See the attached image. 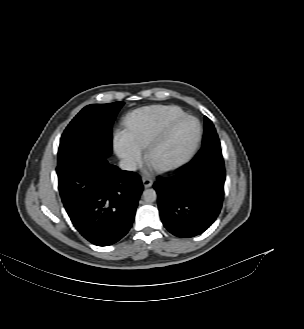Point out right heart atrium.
Returning a JSON list of instances; mask_svg holds the SVG:
<instances>
[{"label": "right heart atrium", "instance_id": "1", "mask_svg": "<svg viewBox=\"0 0 304 329\" xmlns=\"http://www.w3.org/2000/svg\"><path fill=\"white\" fill-rule=\"evenodd\" d=\"M113 142L117 155L130 167L137 168L143 163V151L126 129L118 128L114 133Z\"/></svg>", "mask_w": 304, "mask_h": 329}]
</instances>
